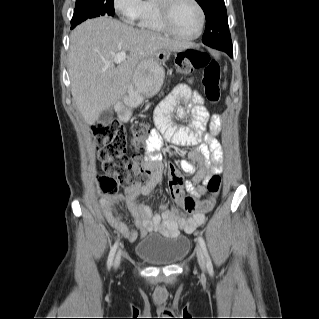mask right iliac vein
Segmentation results:
<instances>
[{
	"mask_svg": "<svg viewBox=\"0 0 319 319\" xmlns=\"http://www.w3.org/2000/svg\"><path fill=\"white\" fill-rule=\"evenodd\" d=\"M121 252H118L115 258V267H118L120 264Z\"/></svg>",
	"mask_w": 319,
	"mask_h": 319,
	"instance_id": "obj_1",
	"label": "right iliac vein"
}]
</instances>
